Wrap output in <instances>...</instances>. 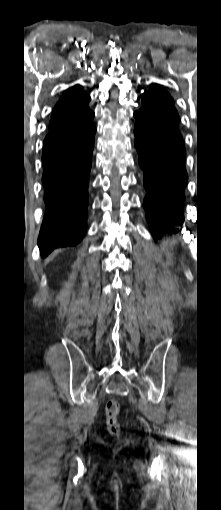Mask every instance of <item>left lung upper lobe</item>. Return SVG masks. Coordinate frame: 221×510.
<instances>
[{
  "instance_id": "5c2ea615",
  "label": "left lung upper lobe",
  "mask_w": 221,
  "mask_h": 510,
  "mask_svg": "<svg viewBox=\"0 0 221 510\" xmlns=\"http://www.w3.org/2000/svg\"><path fill=\"white\" fill-rule=\"evenodd\" d=\"M138 99L142 102L140 112L147 115L165 131L181 136L178 130L179 115L173 105V99L160 85L152 84Z\"/></svg>"
}]
</instances>
